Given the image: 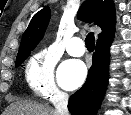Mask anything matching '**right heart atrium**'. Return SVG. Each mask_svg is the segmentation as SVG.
<instances>
[{
  "instance_id": "d8ad5b80",
  "label": "right heart atrium",
  "mask_w": 131,
  "mask_h": 115,
  "mask_svg": "<svg viewBox=\"0 0 131 115\" xmlns=\"http://www.w3.org/2000/svg\"><path fill=\"white\" fill-rule=\"evenodd\" d=\"M55 56L46 48L34 53L25 66V81L30 90L37 96L50 99H64L66 93L55 81Z\"/></svg>"
}]
</instances>
